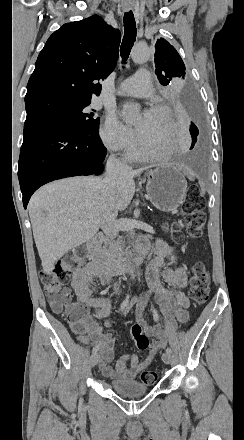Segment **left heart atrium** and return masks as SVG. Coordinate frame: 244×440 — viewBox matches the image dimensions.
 <instances>
[{
  "label": "left heart atrium",
  "mask_w": 244,
  "mask_h": 440,
  "mask_svg": "<svg viewBox=\"0 0 244 440\" xmlns=\"http://www.w3.org/2000/svg\"><path fill=\"white\" fill-rule=\"evenodd\" d=\"M149 112H150L149 110H146L144 115H148Z\"/></svg>",
  "instance_id": "1"
}]
</instances>
